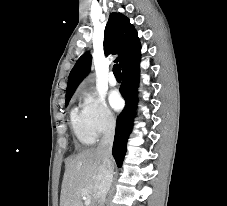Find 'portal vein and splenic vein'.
Returning <instances> with one entry per match:
<instances>
[{"instance_id":"portal-vein-and-splenic-vein-1","label":"portal vein and splenic vein","mask_w":227,"mask_h":206,"mask_svg":"<svg viewBox=\"0 0 227 206\" xmlns=\"http://www.w3.org/2000/svg\"><path fill=\"white\" fill-rule=\"evenodd\" d=\"M82 193L86 196L85 197V205L89 206L90 203H91V197L88 195V191L86 189H83Z\"/></svg>"}]
</instances>
